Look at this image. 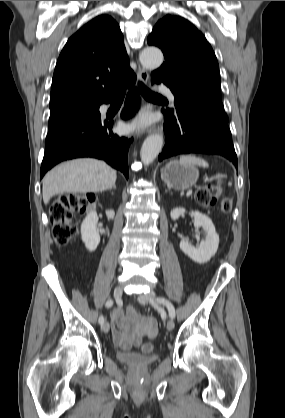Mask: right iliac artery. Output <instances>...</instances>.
<instances>
[{
	"mask_svg": "<svg viewBox=\"0 0 285 418\" xmlns=\"http://www.w3.org/2000/svg\"><path fill=\"white\" fill-rule=\"evenodd\" d=\"M113 305V301L112 300H108L105 304V307L109 308ZM99 323L102 325L104 323V317L101 315L99 317Z\"/></svg>",
	"mask_w": 285,
	"mask_h": 418,
	"instance_id": "82829eb1",
	"label": "right iliac artery"
}]
</instances>
